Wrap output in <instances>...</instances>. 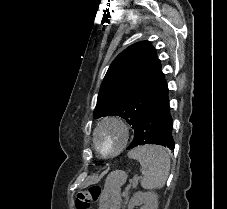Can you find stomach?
Returning <instances> with one entry per match:
<instances>
[{
  "label": "stomach",
  "mask_w": 227,
  "mask_h": 209,
  "mask_svg": "<svg viewBox=\"0 0 227 209\" xmlns=\"http://www.w3.org/2000/svg\"><path fill=\"white\" fill-rule=\"evenodd\" d=\"M126 180L127 174L121 170H115L107 176L100 197L99 209H120V190Z\"/></svg>",
  "instance_id": "1"
}]
</instances>
